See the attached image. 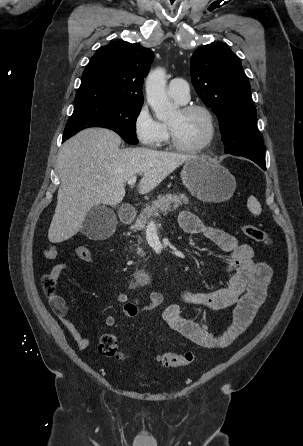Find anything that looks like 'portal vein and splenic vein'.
I'll use <instances>...</instances> for the list:
<instances>
[{"label": "portal vein and splenic vein", "mask_w": 303, "mask_h": 446, "mask_svg": "<svg viewBox=\"0 0 303 446\" xmlns=\"http://www.w3.org/2000/svg\"><path fill=\"white\" fill-rule=\"evenodd\" d=\"M136 180H137V177H136V176L131 177V178L128 180V184H129V185H133V184L136 183ZM150 224H151V225H154V222L152 221Z\"/></svg>", "instance_id": "1"}]
</instances>
